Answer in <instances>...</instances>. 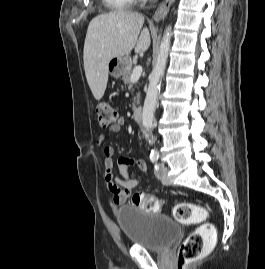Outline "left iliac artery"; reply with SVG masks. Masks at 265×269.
I'll return each instance as SVG.
<instances>
[{"label": "left iliac artery", "instance_id": "1", "mask_svg": "<svg viewBox=\"0 0 265 269\" xmlns=\"http://www.w3.org/2000/svg\"><path fill=\"white\" fill-rule=\"evenodd\" d=\"M154 170H155L156 176L159 178V165L158 164H155Z\"/></svg>", "mask_w": 265, "mask_h": 269}]
</instances>
